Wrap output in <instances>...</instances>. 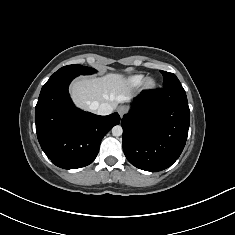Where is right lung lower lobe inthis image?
Segmentation results:
<instances>
[{
	"instance_id": "right-lung-lower-lobe-1",
	"label": "right lung lower lobe",
	"mask_w": 235,
	"mask_h": 235,
	"mask_svg": "<svg viewBox=\"0 0 235 235\" xmlns=\"http://www.w3.org/2000/svg\"><path fill=\"white\" fill-rule=\"evenodd\" d=\"M76 75L50 77L35 108L38 141L58 167L77 169L96 158L102 138L120 122L118 113L98 116L76 108L68 86Z\"/></svg>"
}]
</instances>
